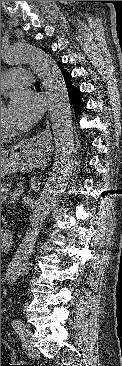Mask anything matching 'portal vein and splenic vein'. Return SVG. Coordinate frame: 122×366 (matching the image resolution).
Returning a JSON list of instances; mask_svg holds the SVG:
<instances>
[{
  "label": "portal vein and splenic vein",
  "instance_id": "obj_1",
  "mask_svg": "<svg viewBox=\"0 0 122 366\" xmlns=\"http://www.w3.org/2000/svg\"><path fill=\"white\" fill-rule=\"evenodd\" d=\"M20 191H15L14 192V194L13 195H11L8 199H9V201H10V203H13L14 202V200L17 198V196H19L20 195V193H19Z\"/></svg>",
  "mask_w": 122,
  "mask_h": 366
}]
</instances>
